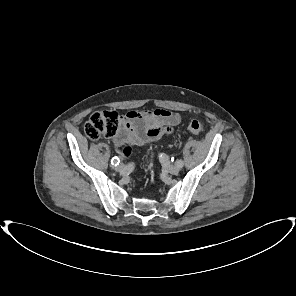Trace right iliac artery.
I'll return each instance as SVG.
<instances>
[{
  "instance_id": "obj_1",
  "label": "right iliac artery",
  "mask_w": 296,
  "mask_h": 296,
  "mask_svg": "<svg viewBox=\"0 0 296 296\" xmlns=\"http://www.w3.org/2000/svg\"><path fill=\"white\" fill-rule=\"evenodd\" d=\"M120 160L118 157H113L111 160L112 165L117 166L119 164Z\"/></svg>"
}]
</instances>
